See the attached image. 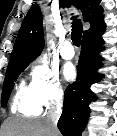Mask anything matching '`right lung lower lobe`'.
<instances>
[{
    "mask_svg": "<svg viewBox=\"0 0 117 136\" xmlns=\"http://www.w3.org/2000/svg\"><path fill=\"white\" fill-rule=\"evenodd\" d=\"M104 28L82 39L77 79L65 90L63 112L58 121V128L64 136H81L86 127L90 114L89 104L96 99L90 86L103 77L97 70L101 66L102 57L99 52L103 49L101 36Z\"/></svg>",
    "mask_w": 117,
    "mask_h": 136,
    "instance_id": "obj_1",
    "label": "right lung lower lobe"
}]
</instances>
